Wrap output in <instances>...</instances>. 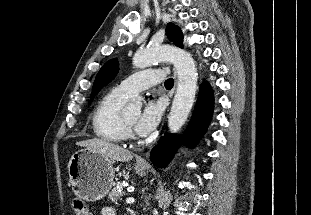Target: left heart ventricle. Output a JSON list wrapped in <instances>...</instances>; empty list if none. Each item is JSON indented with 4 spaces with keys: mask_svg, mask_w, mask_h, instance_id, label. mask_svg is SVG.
<instances>
[{
    "mask_svg": "<svg viewBox=\"0 0 311 215\" xmlns=\"http://www.w3.org/2000/svg\"><path fill=\"white\" fill-rule=\"evenodd\" d=\"M139 116V110H132L125 113L126 119L133 124Z\"/></svg>",
    "mask_w": 311,
    "mask_h": 215,
    "instance_id": "left-heart-ventricle-1",
    "label": "left heart ventricle"
}]
</instances>
